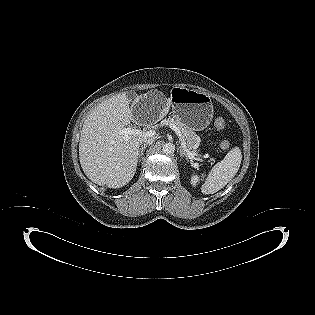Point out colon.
Instances as JSON below:
<instances>
[{
  "label": "colon",
  "mask_w": 315,
  "mask_h": 315,
  "mask_svg": "<svg viewBox=\"0 0 315 315\" xmlns=\"http://www.w3.org/2000/svg\"><path fill=\"white\" fill-rule=\"evenodd\" d=\"M215 128H216L218 131L224 130V129L226 128V121H225L223 118H221V117L217 118V119L215 120ZM221 147H222L223 149H227V148L229 147V142L223 141V142L221 143Z\"/></svg>",
  "instance_id": "colon-1"
}]
</instances>
